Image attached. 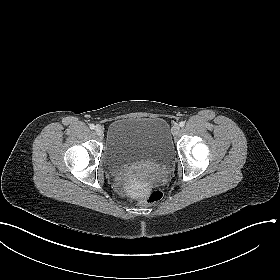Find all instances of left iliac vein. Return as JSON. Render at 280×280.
<instances>
[{
    "mask_svg": "<svg viewBox=\"0 0 280 280\" xmlns=\"http://www.w3.org/2000/svg\"><path fill=\"white\" fill-rule=\"evenodd\" d=\"M180 131V126L178 124L173 125L171 132L173 135H177Z\"/></svg>",
    "mask_w": 280,
    "mask_h": 280,
    "instance_id": "obj_1",
    "label": "left iliac vein"
}]
</instances>
